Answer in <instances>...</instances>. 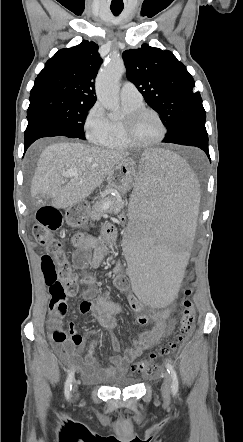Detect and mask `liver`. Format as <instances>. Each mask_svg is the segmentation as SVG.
<instances>
[{"label":"liver","instance_id":"6515ba94","mask_svg":"<svg viewBox=\"0 0 243 442\" xmlns=\"http://www.w3.org/2000/svg\"><path fill=\"white\" fill-rule=\"evenodd\" d=\"M129 153L80 142H58L45 147L31 183V196L49 195L57 209L71 207L99 187L112 168ZM76 168L78 176L64 184L63 173Z\"/></svg>","mask_w":243,"mask_h":442}]
</instances>
